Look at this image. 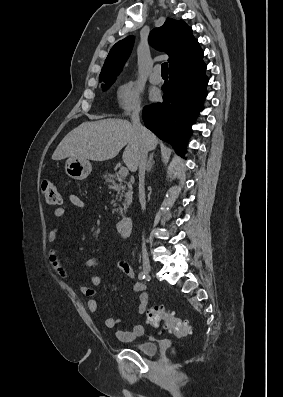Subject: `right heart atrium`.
I'll return each mask as SVG.
<instances>
[{
	"label": "right heart atrium",
	"mask_w": 283,
	"mask_h": 397,
	"mask_svg": "<svg viewBox=\"0 0 283 397\" xmlns=\"http://www.w3.org/2000/svg\"><path fill=\"white\" fill-rule=\"evenodd\" d=\"M142 94L139 86L132 80L121 82L116 89L115 105L121 115L136 114L141 110Z\"/></svg>",
	"instance_id": "d8ad5b80"
}]
</instances>
